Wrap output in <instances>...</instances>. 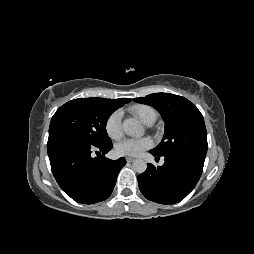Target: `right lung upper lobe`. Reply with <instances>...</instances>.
Instances as JSON below:
<instances>
[{"label":"right lung upper lobe","instance_id":"cb5924a9","mask_svg":"<svg viewBox=\"0 0 254 254\" xmlns=\"http://www.w3.org/2000/svg\"><path fill=\"white\" fill-rule=\"evenodd\" d=\"M108 101L110 102L111 105H113V107L118 109L121 106H123L125 103H128L131 100L128 98H120V99H108Z\"/></svg>","mask_w":254,"mask_h":254}]
</instances>
